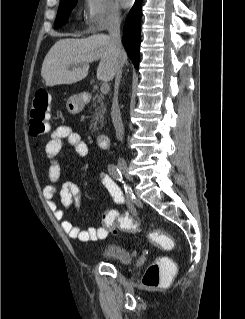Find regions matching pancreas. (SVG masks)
I'll return each mask as SVG.
<instances>
[{
    "mask_svg": "<svg viewBox=\"0 0 245 319\" xmlns=\"http://www.w3.org/2000/svg\"><path fill=\"white\" fill-rule=\"evenodd\" d=\"M103 96H96V100L94 99V102L91 104V107H93V119L91 121L90 130L91 132L98 131L97 123H104V114L106 112V105L103 101Z\"/></svg>",
    "mask_w": 245,
    "mask_h": 319,
    "instance_id": "pancreas-1",
    "label": "pancreas"
}]
</instances>
